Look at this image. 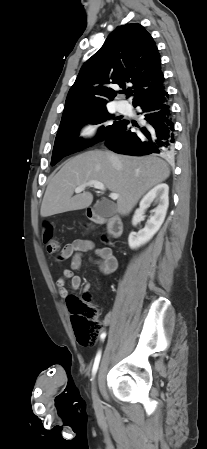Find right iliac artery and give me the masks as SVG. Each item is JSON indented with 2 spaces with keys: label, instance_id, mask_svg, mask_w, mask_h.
I'll use <instances>...</instances> for the list:
<instances>
[{
  "label": "right iliac artery",
  "instance_id": "1",
  "mask_svg": "<svg viewBox=\"0 0 207 449\" xmlns=\"http://www.w3.org/2000/svg\"><path fill=\"white\" fill-rule=\"evenodd\" d=\"M106 337V333H102L100 338L101 340H104ZM100 359H101V350L98 351L95 360H94V364H93V368H92V375L94 376L98 370L99 367V363H100Z\"/></svg>",
  "mask_w": 207,
  "mask_h": 449
}]
</instances>
